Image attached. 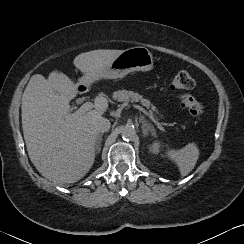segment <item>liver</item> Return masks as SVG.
<instances>
[{
  "mask_svg": "<svg viewBox=\"0 0 244 244\" xmlns=\"http://www.w3.org/2000/svg\"><path fill=\"white\" fill-rule=\"evenodd\" d=\"M122 50H93L77 55L74 66L84 75L80 82L91 86ZM77 86L57 70L48 79L33 75L22 97V129L28 155L45 178L73 183L83 178L95 160L97 130L94 122L106 111V98L97 97L95 110L70 113Z\"/></svg>",
  "mask_w": 244,
  "mask_h": 244,
  "instance_id": "6515ba94",
  "label": "liver"
}]
</instances>
